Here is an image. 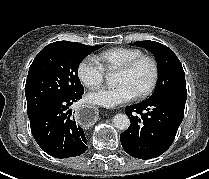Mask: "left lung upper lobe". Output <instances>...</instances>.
<instances>
[{
    "label": "left lung upper lobe",
    "instance_id": "left-lung-upper-lobe-1",
    "mask_svg": "<svg viewBox=\"0 0 209 179\" xmlns=\"http://www.w3.org/2000/svg\"><path fill=\"white\" fill-rule=\"evenodd\" d=\"M139 47L146 48L157 59L158 62V82L153 94L147 99H156L164 94L186 90L185 73L182 65L167 46L155 41H137L134 43Z\"/></svg>",
    "mask_w": 209,
    "mask_h": 179
}]
</instances>
